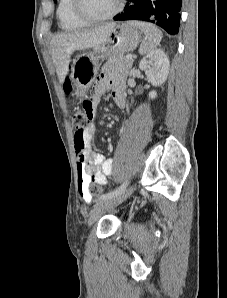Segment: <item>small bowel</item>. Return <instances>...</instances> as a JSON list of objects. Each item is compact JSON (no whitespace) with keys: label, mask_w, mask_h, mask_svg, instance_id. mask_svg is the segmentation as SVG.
Segmentation results:
<instances>
[{"label":"small bowel","mask_w":227,"mask_h":298,"mask_svg":"<svg viewBox=\"0 0 227 298\" xmlns=\"http://www.w3.org/2000/svg\"><path fill=\"white\" fill-rule=\"evenodd\" d=\"M107 90H111V96L118 107H125L126 97L123 81L115 75L104 73L94 84L92 98L83 99L84 103H92L82 104L85 115L99 114L96 107L101 96ZM95 126L96 117H89V126L84 132V157L81 158L76 151L79 193L87 203L92 201V195L88 192L90 183L106 185L107 177L112 174L114 166L111 158H106L103 154L92 150V140L96 132Z\"/></svg>","instance_id":"small-bowel-1"}]
</instances>
